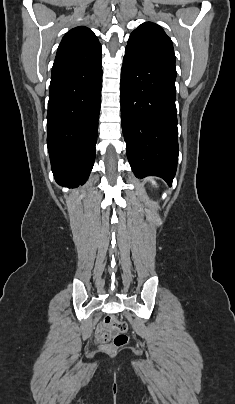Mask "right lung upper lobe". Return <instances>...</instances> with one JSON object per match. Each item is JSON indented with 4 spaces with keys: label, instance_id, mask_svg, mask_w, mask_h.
<instances>
[{
    "label": "right lung upper lobe",
    "instance_id": "cb5924a9",
    "mask_svg": "<svg viewBox=\"0 0 235 404\" xmlns=\"http://www.w3.org/2000/svg\"><path fill=\"white\" fill-rule=\"evenodd\" d=\"M101 45L87 27H76L65 34L56 54L53 68L93 62L101 58Z\"/></svg>",
    "mask_w": 235,
    "mask_h": 404
}]
</instances>
